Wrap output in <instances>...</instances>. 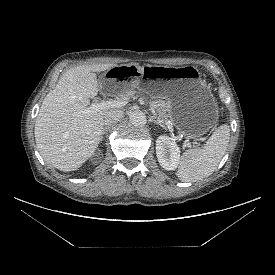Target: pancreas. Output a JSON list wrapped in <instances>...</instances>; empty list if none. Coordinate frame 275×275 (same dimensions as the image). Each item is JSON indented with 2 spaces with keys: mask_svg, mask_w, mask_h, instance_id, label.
Segmentation results:
<instances>
[{
  "mask_svg": "<svg viewBox=\"0 0 275 275\" xmlns=\"http://www.w3.org/2000/svg\"><path fill=\"white\" fill-rule=\"evenodd\" d=\"M137 91L134 89H130L126 92L120 93L117 96V99L123 100L125 98L131 99L135 96ZM152 106L157 110L158 113V118L165 124L168 123L170 115H169V109H170V104L169 102H165L162 99H157L151 102Z\"/></svg>",
  "mask_w": 275,
  "mask_h": 275,
  "instance_id": "obj_1",
  "label": "pancreas"
}]
</instances>
